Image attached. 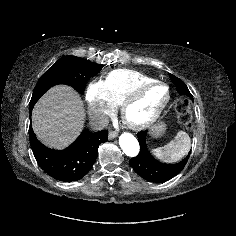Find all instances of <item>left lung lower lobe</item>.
<instances>
[{
  "label": "left lung lower lobe",
  "instance_id": "0a47b994",
  "mask_svg": "<svg viewBox=\"0 0 236 236\" xmlns=\"http://www.w3.org/2000/svg\"><path fill=\"white\" fill-rule=\"evenodd\" d=\"M147 131L139 132L137 137L140 144V152L131 158L130 166L142 178L150 182H165L177 175L186 165L189 155L176 164H165L155 159L146 145Z\"/></svg>",
  "mask_w": 236,
  "mask_h": 236
}]
</instances>
